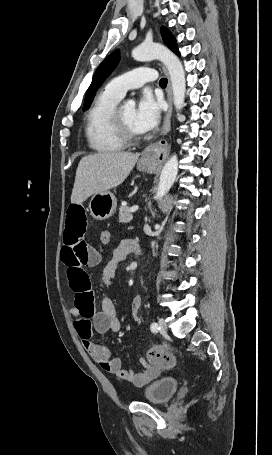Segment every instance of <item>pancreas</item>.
I'll use <instances>...</instances> for the list:
<instances>
[{
	"mask_svg": "<svg viewBox=\"0 0 272 455\" xmlns=\"http://www.w3.org/2000/svg\"><path fill=\"white\" fill-rule=\"evenodd\" d=\"M133 219L130 208L128 206H121L119 208V222L128 223Z\"/></svg>",
	"mask_w": 272,
	"mask_h": 455,
	"instance_id": "pancreas-1",
	"label": "pancreas"
}]
</instances>
